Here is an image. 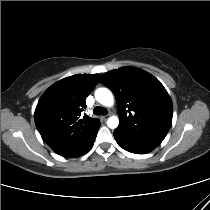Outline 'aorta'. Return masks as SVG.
Segmentation results:
<instances>
[{"mask_svg": "<svg viewBox=\"0 0 210 210\" xmlns=\"http://www.w3.org/2000/svg\"><path fill=\"white\" fill-rule=\"evenodd\" d=\"M95 99L97 100V102H99L100 104L107 106V107H111L114 104L113 94L107 88H98L95 91ZM107 125L111 129L117 128L119 125L118 117L111 116L107 121Z\"/></svg>", "mask_w": 210, "mask_h": 210, "instance_id": "1", "label": "aorta"}]
</instances>
